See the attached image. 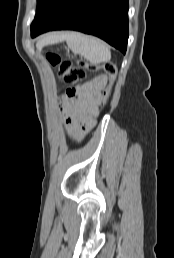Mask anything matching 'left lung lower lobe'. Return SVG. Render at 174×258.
Returning a JSON list of instances; mask_svg holds the SVG:
<instances>
[{
    "mask_svg": "<svg viewBox=\"0 0 174 258\" xmlns=\"http://www.w3.org/2000/svg\"><path fill=\"white\" fill-rule=\"evenodd\" d=\"M62 29L95 35L125 54L128 0H57L31 37Z\"/></svg>",
    "mask_w": 174,
    "mask_h": 258,
    "instance_id": "1",
    "label": "left lung lower lobe"
}]
</instances>
